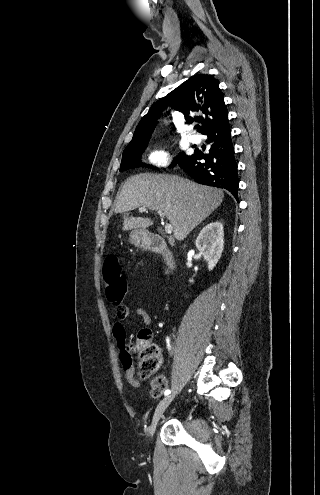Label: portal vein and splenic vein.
Wrapping results in <instances>:
<instances>
[{"label": "portal vein and splenic vein", "mask_w": 320, "mask_h": 495, "mask_svg": "<svg viewBox=\"0 0 320 495\" xmlns=\"http://www.w3.org/2000/svg\"><path fill=\"white\" fill-rule=\"evenodd\" d=\"M146 210H147V208H146V207H142V208H140V209H139V211H140V212H145ZM157 213L159 214V216H160L161 218H164V216H165V215H164V213H163L162 211H158ZM172 230H173L172 225H171V224H169V223H167V224L165 225V232H166L167 234H171V233H172Z\"/></svg>", "instance_id": "obj_1"}]
</instances>
